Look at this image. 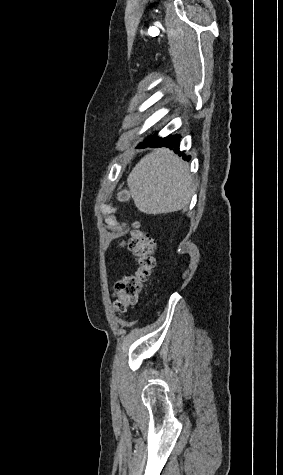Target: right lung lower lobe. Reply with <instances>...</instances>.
<instances>
[{
	"instance_id": "1",
	"label": "right lung lower lobe",
	"mask_w": 283,
	"mask_h": 475,
	"mask_svg": "<svg viewBox=\"0 0 283 475\" xmlns=\"http://www.w3.org/2000/svg\"><path fill=\"white\" fill-rule=\"evenodd\" d=\"M179 142H180L179 134L169 135L168 137H165V138H158L156 135H154V136H150V138H147L143 143H140L138 148L146 147V146H151V147L165 146V147H170V149L175 148L177 150L179 146ZM189 158H190L189 156L186 157L184 155V159L189 160Z\"/></svg>"
}]
</instances>
